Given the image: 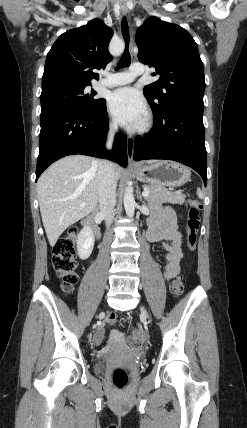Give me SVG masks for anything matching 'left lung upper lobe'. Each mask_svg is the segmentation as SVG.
I'll return each mask as SVG.
<instances>
[{
  "label": "left lung upper lobe",
  "mask_w": 247,
  "mask_h": 428,
  "mask_svg": "<svg viewBox=\"0 0 247 428\" xmlns=\"http://www.w3.org/2000/svg\"><path fill=\"white\" fill-rule=\"evenodd\" d=\"M140 62L154 67L160 78L144 87L153 114L178 103L204 108V67L192 36L178 25L150 17L138 29Z\"/></svg>",
  "instance_id": "left-lung-upper-lobe-1"
}]
</instances>
